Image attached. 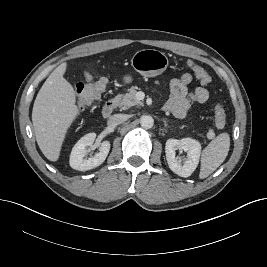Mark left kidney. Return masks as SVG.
<instances>
[{"label": "left kidney", "instance_id": "1", "mask_svg": "<svg viewBox=\"0 0 267 267\" xmlns=\"http://www.w3.org/2000/svg\"><path fill=\"white\" fill-rule=\"evenodd\" d=\"M176 150L185 151L187 158L182 163L175 154ZM166 160L169 168L181 177H189L197 168L200 155L201 144L192 138H183L181 140L168 139L165 146Z\"/></svg>", "mask_w": 267, "mask_h": 267}]
</instances>
